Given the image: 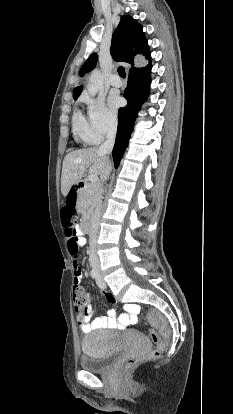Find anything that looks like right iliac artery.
<instances>
[{"label": "right iliac artery", "mask_w": 233, "mask_h": 414, "mask_svg": "<svg viewBox=\"0 0 233 414\" xmlns=\"http://www.w3.org/2000/svg\"><path fill=\"white\" fill-rule=\"evenodd\" d=\"M90 275H91V277L93 279H96L97 278V272H96V270L95 269H92L91 272H90Z\"/></svg>", "instance_id": "1"}]
</instances>
